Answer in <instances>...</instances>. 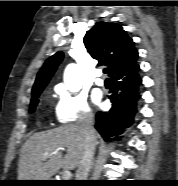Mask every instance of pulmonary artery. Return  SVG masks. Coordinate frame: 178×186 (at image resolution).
I'll return each mask as SVG.
<instances>
[{"instance_id": "e3ab8cb5", "label": "pulmonary artery", "mask_w": 178, "mask_h": 186, "mask_svg": "<svg viewBox=\"0 0 178 186\" xmlns=\"http://www.w3.org/2000/svg\"><path fill=\"white\" fill-rule=\"evenodd\" d=\"M95 83L99 86H102L104 84V80L103 78L101 77V72L100 71H97L96 73V77H95Z\"/></svg>"}]
</instances>
